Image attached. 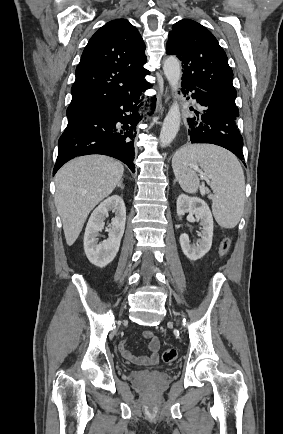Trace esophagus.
<instances>
[{
    "mask_svg": "<svg viewBox=\"0 0 283 434\" xmlns=\"http://www.w3.org/2000/svg\"><path fill=\"white\" fill-rule=\"evenodd\" d=\"M165 102H167V101H169V99H170V95H169V91H168V88H166V90H165Z\"/></svg>",
    "mask_w": 283,
    "mask_h": 434,
    "instance_id": "obj_1",
    "label": "esophagus"
}]
</instances>
